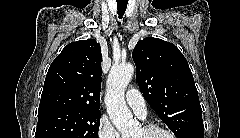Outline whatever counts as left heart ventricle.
I'll return each mask as SVG.
<instances>
[{
    "label": "left heart ventricle",
    "instance_id": "left-heart-ventricle-1",
    "mask_svg": "<svg viewBox=\"0 0 240 138\" xmlns=\"http://www.w3.org/2000/svg\"><path fill=\"white\" fill-rule=\"evenodd\" d=\"M134 138H166V135L162 132L146 133L143 129H140Z\"/></svg>",
    "mask_w": 240,
    "mask_h": 138
}]
</instances>
